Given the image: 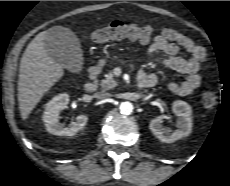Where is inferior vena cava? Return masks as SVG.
<instances>
[{"label": "inferior vena cava", "mask_w": 230, "mask_h": 186, "mask_svg": "<svg viewBox=\"0 0 230 186\" xmlns=\"http://www.w3.org/2000/svg\"><path fill=\"white\" fill-rule=\"evenodd\" d=\"M111 96L110 93H106V92H97L95 94V97L98 98V99H107Z\"/></svg>", "instance_id": "inferior-vena-cava-1"}]
</instances>
